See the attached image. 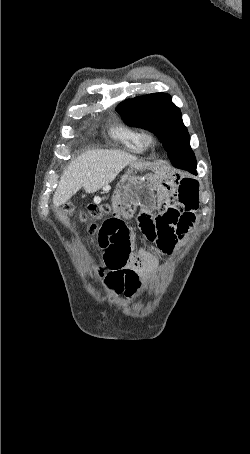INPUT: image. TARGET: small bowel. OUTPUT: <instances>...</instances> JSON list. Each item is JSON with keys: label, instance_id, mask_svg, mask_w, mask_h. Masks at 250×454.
Here are the masks:
<instances>
[{"label": "small bowel", "instance_id": "c3829d8e", "mask_svg": "<svg viewBox=\"0 0 250 454\" xmlns=\"http://www.w3.org/2000/svg\"><path fill=\"white\" fill-rule=\"evenodd\" d=\"M114 194L121 213L105 220L98 231L103 263L97 275L115 292L133 295L141 287V278L158 265L148 252L134 251L135 238L125 215L140 208L138 224L143 234L170 254L195 222L199 185L191 177L129 172L116 185Z\"/></svg>", "mask_w": 250, "mask_h": 454}]
</instances>
